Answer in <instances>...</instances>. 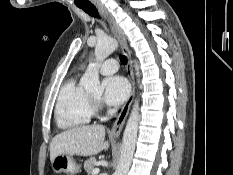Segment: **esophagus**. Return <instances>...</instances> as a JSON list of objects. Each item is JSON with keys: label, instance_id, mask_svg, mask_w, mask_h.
<instances>
[{"label": "esophagus", "instance_id": "1", "mask_svg": "<svg viewBox=\"0 0 233 175\" xmlns=\"http://www.w3.org/2000/svg\"><path fill=\"white\" fill-rule=\"evenodd\" d=\"M94 4L102 12V14L105 16V18L109 22L111 29L114 35L116 36V38L118 39L121 49L124 52V54L127 56V60H128L126 70H127L128 78L131 83V93H130L129 98L125 102L124 106L122 107L111 129L112 134L118 135L121 133L123 129V126L128 116V113H129V110H130V107H131V104L134 98V93H135V84H134L131 54H130V50L128 47L126 36L124 32L122 31V29L120 28V26L115 21V19L111 16V14L104 8V6L101 3L94 1Z\"/></svg>", "mask_w": 233, "mask_h": 175}]
</instances>
